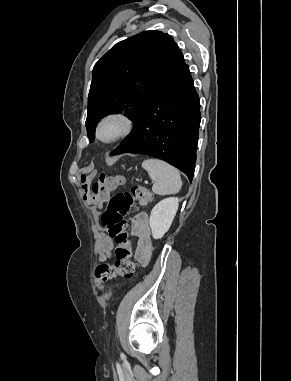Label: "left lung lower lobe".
<instances>
[{
    "label": "left lung lower lobe",
    "mask_w": 291,
    "mask_h": 381,
    "mask_svg": "<svg viewBox=\"0 0 291 381\" xmlns=\"http://www.w3.org/2000/svg\"><path fill=\"white\" fill-rule=\"evenodd\" d=\"M200 120V100L184 63L150 98L131 134L110 155H150L177 167L192 181Z\"/></svg>",
    "instance_id": "left-lung-lower-lobe-1"
}]
</instances>
